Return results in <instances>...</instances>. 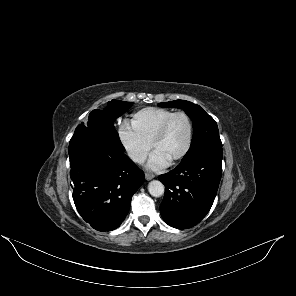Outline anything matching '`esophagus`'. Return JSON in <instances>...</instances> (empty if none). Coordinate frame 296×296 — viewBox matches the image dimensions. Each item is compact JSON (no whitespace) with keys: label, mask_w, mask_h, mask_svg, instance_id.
Returning a JSON list of instances; mask_svg holds the SVG:
<instances>
[{"label":"esophagus","mask_w":296,"mask_h":296,"mask_svg":"<svg viewBox=\"0 0 296 296\" xmlns=\"http://www.w3.org/2000/svg\"><path fill=\"white\" fill-rule=\"evenodd\" d=\"M154 177H155L154 174H151V173H145V178H146V180H151V179H153Z\"/></svg>","instance_id":"1"}]
</instances>
